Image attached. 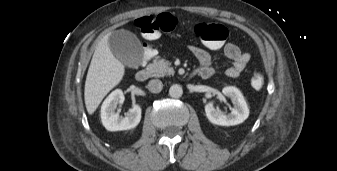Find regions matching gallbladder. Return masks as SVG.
<instances>
[{
    "label": "gallbladder",
    "instance_id": "bac80fb5",
    "mask_svg": "<svg viewBox=\"0 0 337 171\" xmlns=\"http://www.w3.org/2000/svg\"><path fill=\"white\" fill-rule=\"evenodd\" d=\"M113 55L123 64L137 68L143 58V49L137 37L129 31L117 30L109 36Z\"/></svg>",
    "mask_w": 337,
    "mask_h": 171
}]
</instances>
